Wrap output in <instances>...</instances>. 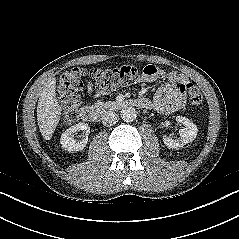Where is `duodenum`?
Listing matches in <instances>:
<instances>
[{"instance_id":"1","label":"duodenum","mask_w":239,"mask_h":239,"mask_svg":"<svg viewBox=\"0 0 239 239\" xmlns=\"http://www.w3.org/2000/svg\"><path fill=\"white\" fill-rule=\"evenodd\" d=\"M126 106H134L143 110H149L152 107L148 99L130 98V99L120 100L117 103L111 104L109 108L117 109V108L126 107ZM79 115H80V118L86 122H94L97 120L99 116V111L92 106L84 105L81 107Z\"/></svg>"}]
</instances>
